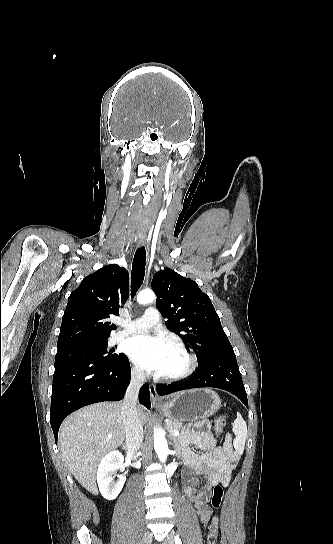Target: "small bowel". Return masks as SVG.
<instances>
[{
	"label": "small bowel",
	"mask_w": 333,
	"mask_h": 544,
	"mask_svg": "<svg viewBox=\"0 0 333 544\" xmlns=\"http://www.w3.org/2000/svg\"><path fill=\"white\" fill-rule=\"evenodd\" d=\"M190 445L199 452H194ZM180 449L186 464L182 474L185 492L194 501L198 517L206 527L212 514L208 505L211 490L217 485H227L239 454L230 435L223 446L217 444L206 420L196 422L194 429L181 438Z\"/></svg>",
	"instance_id": "c3829d8e"
}]
</instances>
